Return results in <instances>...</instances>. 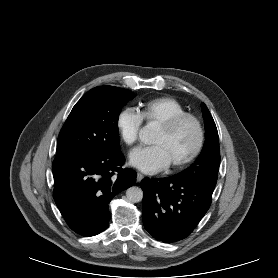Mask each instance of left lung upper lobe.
<instances>
[{"label":"left lung upper lobe","instance_id":"left-lung-upper-lobe-1","mask_svg":"<svg viewBox=\"0 0 278 278\" xmlns=\"http://www.w3.org/2000/svg\"><path fill=\"white\" fill-rule=\"evenodd\" d=\"M201 106L206 129L204 148L194 164L173 177L216 184L220 165L218 131L207 106L204 103Z\"/></svg>","mask_w":278,"mask_h":278}]
</instances>
